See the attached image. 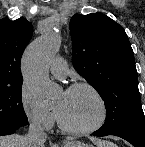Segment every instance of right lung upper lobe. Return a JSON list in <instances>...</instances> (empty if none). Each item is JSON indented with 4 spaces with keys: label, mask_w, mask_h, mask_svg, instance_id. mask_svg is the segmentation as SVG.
<instances>
[{
    "label": "right lung upper lobe",
    "mask_w": 145,
    "mask_h": 147,
    "mask_svg": "<svg viewBox=\"0 0 145 147\" xmlns=\"http://www.w3.org/2000/svg\"><path fill=\"white\" fill-rule=\"evenodd\" d=\"M32 33V24L23 17L0 20V85L23 81L20 60Z\"/></svg>",
    "instance_id": "right-lung-upper-lobe-1"
}]
</instances>
